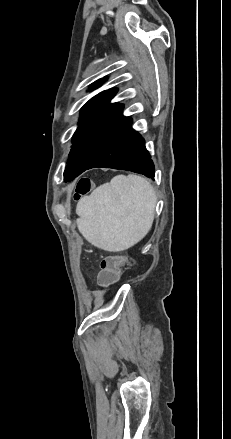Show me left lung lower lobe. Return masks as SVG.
Masks as SVG:
<instances>
[{"mask_svg":"<svg viewBox=\"0 0 231 439\" xmlns=\"http://www.w3.org/2000/svg\"><path fill=\"white\" fill-rule=\"evenodd\" d=\"M131 124L132 119L126 117L106 139L85 170L97 167L122 169L153 179L154 164L145 148V141L132 129Z\"/></svg>","mask_w":231,"mask_h":439,"instance_id":"1","label":"left lung lower lobe"}]
</instances>
